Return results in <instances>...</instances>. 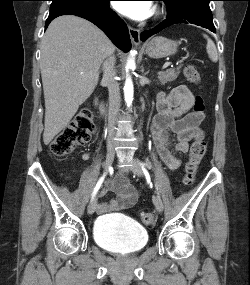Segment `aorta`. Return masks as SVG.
Segmentation results:
<instances>
[{
    "label": "aorta",
    "instance_id": "1",
    "mask_svg": "<svg viewBox=\"0 0 250 285\" xmlns=\"http://www.w3.org/2000/svg\"><path fill=\"white\" fill-rule=\"evenodd\" d=\"M130 54L131 56H133L136 54V52L131 51ZM134 65H135L134 60L132 58H129L127 62V68H132ZM124 96H125V102L127 104V107H130L133 101V82L130 76H128L125 81Z\"/></svg>",
    "mask_w": 250,
    "mask_h": 285
}]
</instances>
